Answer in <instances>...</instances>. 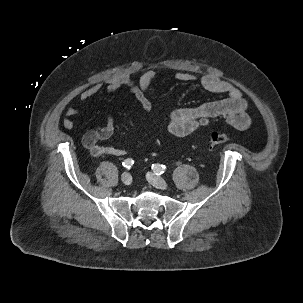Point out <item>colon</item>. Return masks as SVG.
<instances>
[{
    "instance_id": "1",
    "label": "colon",
    "mask_w": 303,
    "mask_h": 303,
    "mask_svg": "<svg viewBox=\"0 0 303 303\" xmlns=\"http://www.w3.org/2000/svg\"><path fill=\"white\" fill-rule=\"evenodd\" d=\"M229 137L226 134L220 132H213L210 134L208 142L211 147L225 144L229 141Z\"/></svg>"
}]
</instances>
